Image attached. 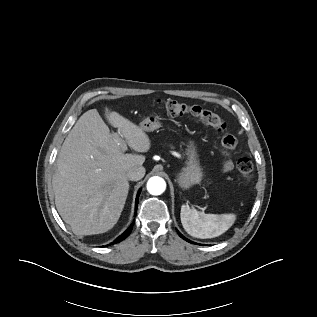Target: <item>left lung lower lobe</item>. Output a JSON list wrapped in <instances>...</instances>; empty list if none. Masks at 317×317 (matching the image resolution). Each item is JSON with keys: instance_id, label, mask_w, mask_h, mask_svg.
<instances>
[{"instance_id": "1", "label": "left lung lower lobe", "mask_w": 317, "mask_h": 317, "mask_svg": "<svg viewBox=\"0 0 317 317\" xmlns=\"http://www.w3.org/2000/svg\"><path fill=\"white\" fill-rule=\"evenodd\" d=\"M177 232H178V231H177ZM178 234H179V236H180L181 238H183L184 240H186V241H188V242H190V243L196 244V243L191 242L190 240L186 239L184 236H182V234H180V232H178Z\"/></svg>"}]
</instances>
